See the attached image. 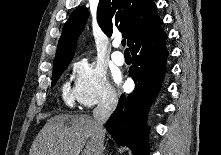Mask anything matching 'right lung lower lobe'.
Returning a JSON list of instances; mask_svg holds the SVG:
<instances>
[{"label":"right lung lower lobe","mask_w":221,"mask_h":155,"mask_svg":"<svg viewBox=\"0 0 221 155\" xmlns=\"http://www.w3.org/2000/svg\"><path fill=\"white\" fill-rule=\"evenodd\" d=\"M166 38L160 23L130 47L133 64L129 75L135 82V90L127 96L121 95L117 108L106 123L113 139L119 145L129 147L134 155L149 153L145 118L165 75Z\"/></svg>","instance_id":"1"}]
</instances>
